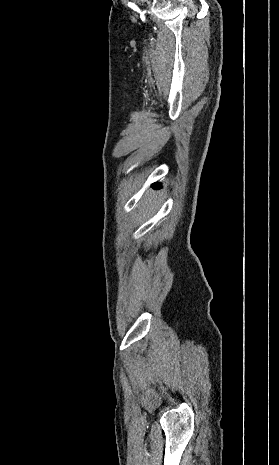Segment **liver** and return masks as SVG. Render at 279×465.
Here are the masks:
<instances>
[{
    "label": "liver",
    "mask_w": 279,
    "mask_h": 465,
    "mask_svg": "<svg viewBox=\"0 0 279 465\" xmlns=\"http://www.w3.org/2000/svg\"><path fill=\"white\" fill-rule=\"evenodd\" d=\"M157 200L158 197L155 195V192L153 190L147 191L141 200V208L143 211H145L147 208H149L151 211H154L157 205Z\"/></svg>",
    "instance_id": "obj_1"
}]
</instances>
